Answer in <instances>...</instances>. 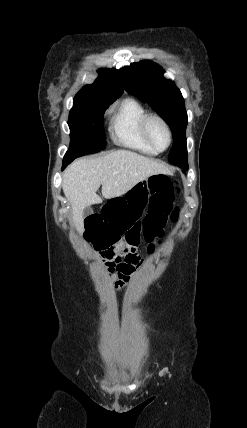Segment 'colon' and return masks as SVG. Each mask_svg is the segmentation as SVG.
Listing matches in <instances>:
<instances>
[{
    "label": "colon",
    "mask_w": 247,
    "mask_h": 428,
    "mask_svg": "<svg viewBox=\"0 0 247 428\" xmlns=\"http://www.w3.org/2000/svg\"><path fill=\"white\" fill-rule=\"evenodd\" d=\"M177 191L176 183L168 177L152 176L135 186L128 196L116 194L109 204H101V212L88 213L82 242L88 243L89 251L100 247L102 259L112 271L119 261L117 245L125 241L130 245L126 258L139 266L141 261L136 249L141 236L153 242L162 235L168 217L176 220L178 210L174 207V199ZM152 249L153 244L150 245Z\"/></svg>",
    "instance_id": "5ec220e1"
}]
</instances>
